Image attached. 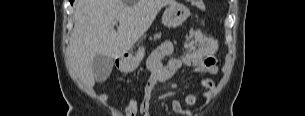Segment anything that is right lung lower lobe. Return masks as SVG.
Instances as JSON below:
<instances>
[{
  "mask_svg": "<svg viewBox=\"0 0 305 116\" xmlns=\"http://www.w3.org/2000/svg\"><path fill=\"white\" fill-rule=\"evenodd\" d=\"M73 1H74V0H70V3L73 4Z\"/></svg>",
  "mask_w": 305,
  "mask_h": 116,
  "instance_id": "98d812e1",
  "label": "right lung lower lobe"
}]
</instances>
